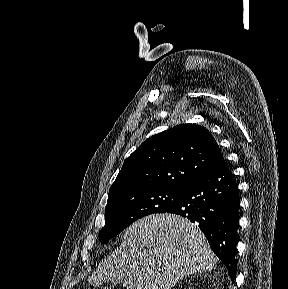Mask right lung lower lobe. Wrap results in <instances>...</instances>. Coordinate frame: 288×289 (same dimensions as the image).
<instances>
[{
    "label": "right lung lower lobe",
    "mask_w": 288,
    "mask_h": 289,
    "mask_svg": "<svg viewBox=\"0 0 288 289\" xmlns=\"http://www.w3.org/2000/svg\"><path fill=\"white\" fill-rule=\"evenodd\" d=\"M167 212L199 224L233 281L237 270L239 196L237 183L225 160L194 179L180 201Z\"/></svg>",
    "instance_id": "obj_1"
}]
</instances>
